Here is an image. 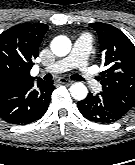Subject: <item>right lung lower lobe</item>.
<instances>
[{"mask_svg":"<svg viewBox=\"0 0 135 165\" xmlns=\"http://www.w3.org/2000/svg\"><path fill=\"white\" fill-rule=\"evenodd\" d=\"M52 82H14L0 86V117L12 124H28L41 118L47 111Z\"/></svg>","mask_w":135,"mask_h":165,"instance_id":"98d812e1","label":"right lung lower lobe"}]
</instances>
